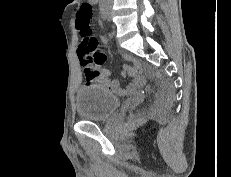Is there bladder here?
<instances>
[{"mask_svg":"<svg viewBox=\"0 0 231 177\" xmlns=\"http://www.w3.org/2000/svg\"><path fill=\"white\" fill-rule=\"evenodd\" d=\"M75 105L82 119L99 121L108 118L118 108L119 100L104 87L89 85L77 91Z\"/></svg>","mask_w":231,"mask_h":177,"instance_id":"bladder-1","label":"bladder"}]
</instances>
